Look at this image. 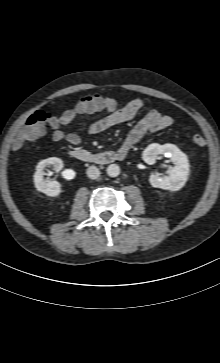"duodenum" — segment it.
Listing matches in <instances>:
<instances>
[{
    "mask_svg": "<svg viewBox=\"0 0 220 363\" xmlns=\"http://www.w3.org/2000/svg\"><path fill=\"white\" fill-rule=\"evenodd\" d=\"M130 149L120 148L116 151H104L99 153H93L83 149H76L71 151L70 155L76 160L93 163L98 165H107L124 160Z\"/></svg>",
    "mask_w": 220,
    "mask_h": 363,
    "instance_id": "410a0bca",
    "label": "duodenum"
}]
</instances>
